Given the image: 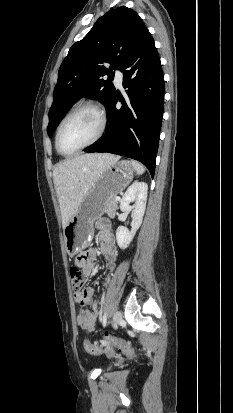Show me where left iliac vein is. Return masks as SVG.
Listing matches in <instances>:
<instances>
[{"instance_id":"4c4485c4","label":"left iliac vein","mask_w":233,"mask_h":413,"mask_svg":"<svg viewBox=\"0 0 233 413\" xmlns=\"http://www.w3.org/2000/svg\"><path fill=\"white\" fill-rule=\"evenodd\" d=\"M121 320H122V313H121V311H116L115 312V314H114V316H113V319H112V326L114 327V328H117V326L119 325V323L121 322Z\"/></svg>"}]
</instances>
